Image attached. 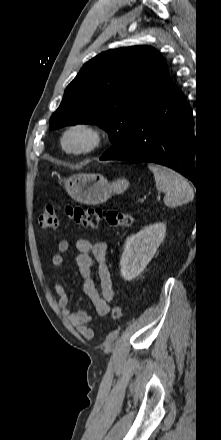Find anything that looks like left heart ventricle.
<instances>
[{"label": "left heart ventricle", "instance_id": "1", "mask_svg": "<svg viewBox=\"0 0 221 440\" xmlns=\"http://www.w3.org/2000/svg\"><path fill=\"white\" fill-rule=\"evenodd\" d=\"M71 146H79L82 143V138L78 135H73L68 139Z\"/></svg>", "mask_w": 221, "mask_h": 440}]
</instances>
